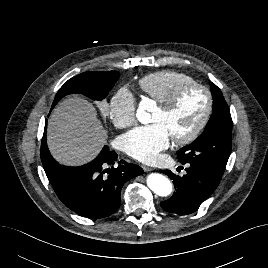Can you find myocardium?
I'll use <instances>...</instances> for the list:
<instances>
[{
	"instance_id": "myocardium-1",
	"label": "myocardium",
	"mask_w": 268,
	"mask_h": 268,
	"mask_svg": "<svg viewBox=\"0 0 268 268\" xmlns=\"http://www.w3.org/2000/svg\"><path fill=\"white\" fill-rule=\"evenodd\" d=\"M191 89H200L206 94L207 99L206 108L203 113V116L201 117V119L191 132L182 137H176V138L172 137L173 142L177 145L189 144L193 142L201 134L212 114L213 102H214L213 94L207 86L197 82H191L179 87L166 102L158 105L159 109L164 114H168L176 108L181 97Z\"/></svg>"
}]
</instances>
